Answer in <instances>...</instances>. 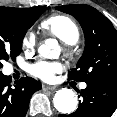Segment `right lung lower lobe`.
I'll return each instance as SVG.
<instances>
[{
  "mask_svg": "<svg viewBox=\"0 0 117 117\" xmlns=\"http://www.w3.org/2000/svg\"><path fill=\"white\" fill-rule=\"evenodd\" d=\"M41 84L33 78L22 77L12 83L10 76L0 72V117H25L29 101Z\"/></svg>",
  "mask_w": 117,
  "mask_h": 117,
  "instance_id": "1",
  "label": "right lung lower lobe"
}]
</instances>
